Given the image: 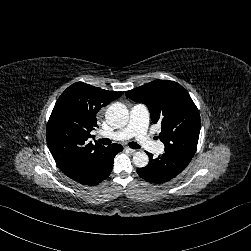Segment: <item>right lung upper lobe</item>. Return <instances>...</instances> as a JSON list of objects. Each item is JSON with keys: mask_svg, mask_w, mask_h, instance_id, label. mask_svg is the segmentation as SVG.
I'll return each instance as SVG.
<instances>
[{"mask_svg": "<svg viewBox=\"0 0 251 251\" xmlns=\"http://www.w3.org/2000/svg\"><path fill=\"white\" fill-rule=\"evenodd\" d=\"M121 95L122 92L103 90L83 82L72 84L61 94L49 118L46 139L63 173L72 175L105 155L106 147L88 139L97 127V112Z\"/></svg>", "mask_w": 251, "mask_h": 251, "instance_id": "cb5924a9", "label": "right lung upper lobe"}]
</instances>
